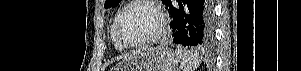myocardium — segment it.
<instances>
[{
  "mask_svg": "<svg viewBox=\"0 0 301 71\" xmlns=\"http://www.w3.org/2000/svg\"><path fill=\"white\" fill-rule=\"evenodd\" d=\"M136 5H143V6H147V7L151 8L158 16L159 25L157 27V30L152 35H150L147 38L140 40L138 42L130 43V42L125 41L123 39V37L121 36L120 23H121V19H122L124 13L126 12V10L129 9L130 7H133ZM166 28H167V18H166L164 11L162 10V8L156 2L147 1V0H134V1H130L129 3H127L119 11V13L117 14V16L115 18V22H114L115 37H116L117 41L124 48H139L142 46L152 44L163 35Z\"/></svg>",
  "mask_w": 301,
  "mask_h": 71,
  "instance_id": "f54148a6",
  "label": "myocardium"
}]
</instances>
